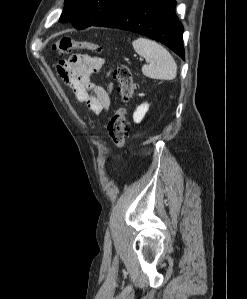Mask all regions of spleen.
I'll list each match as a JSON object with an SVG mask.
<instances>
[{"label":"spleen","mask_w":247,"mask_h":299,"mask_svg":"<svg viewBox=\"0 0 247 299\" xmlns=\"http://www.w3.org/2000/svg\"><path fill=\"white\" fill-rule=\"evenodd\" d=\"M136 53L144 57L142 73L152 79L173 80L177 75V64L172 55L159 43L138 38L132 42Z\"/></svg>","instance_id":"spleen-1"}]
</instances>
